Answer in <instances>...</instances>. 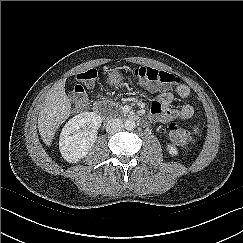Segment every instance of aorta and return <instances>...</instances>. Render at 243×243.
Listing matches in <instances>:
<instances>
[{
    "mask_svg": "<svg viewBox=\"0 0 243 243\" xmlns=\"http://www.w3.org/2000/svg\"><path fill=\"white\" fill-rule=\"evenodd\" d=\"M124 127H125L126 130L131 131L136 127V123L133 119H127L124 122Z\"/></svg>",
    "mask_w": 243,
    "mask_h": 243,
    "instance_id": "1",
    "label": "aorta"
}]
</instances>
